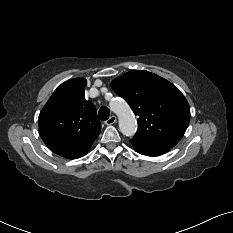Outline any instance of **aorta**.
<instances>
[{"label": "aorta", "instance_id": "aorta-1", "mask_svg": "<svg viewBox=\"0 0 233 233\" xmlns=\"http://www.w3.org/2000/svg\"><path fill=\"white\" fill-rule=\"evenodd\" d=\"M111 109L118 116L121 133L128 137L134 136L137 121L129 105L121 99H116L111 103Z\"/></svg>", "mask_w": 233, "mask_h": 233}]
</instances>
